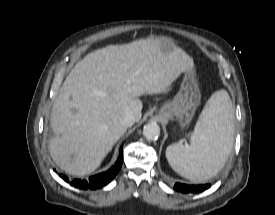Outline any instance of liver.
Returning <instances> with one entry per match:
<instances>
[{"label":"liver","instance_id":"1","mask_svg":"<svg viewBox=\"0 0 275 215\" xmlns=\"http://www.w3.org/2000/svg\"><path fill=\"white\" fill-rule=\"evenodd\" d=\"M193 59L182 49L165 53L158 38L109 45L86 55L65 79L53 104L49 151L66 173L97 169L127 127V111L141 119L140 96L166 93Z\"/></svg>","mask_w":275,"mask_h":215}]
</instances>
